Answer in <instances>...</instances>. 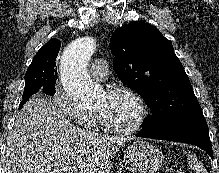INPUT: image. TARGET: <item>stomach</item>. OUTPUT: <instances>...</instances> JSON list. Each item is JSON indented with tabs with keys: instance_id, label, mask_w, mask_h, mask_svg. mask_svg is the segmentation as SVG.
Segmentation results:
<instances>
[{
	"instance_id": "obj_1",
	"label": "stomach",
	"mask_w": 219,
	"mask_h": 173,
	"mask_svg": "<svg viewBox=\"0 0 219 173\" xmlns=\"http://www.w3.org/2000/svg\"><path fill=\"white\" fill-rule=\"evenodd\" d=\"M123 159L132 173H156L164 163V155L146 141H136L124 150Z\"/></svg>"
}]
</instances>
